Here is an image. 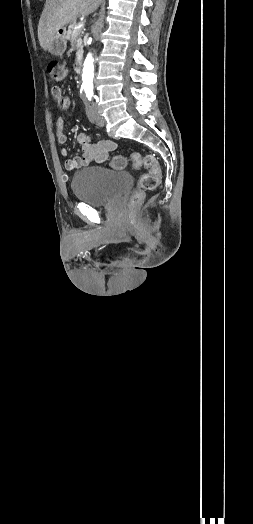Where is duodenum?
<instances>
[{"mask_svg": "<svg viewBox=\"0 0 253 524\" xmlns=\"http://www.w3.org/2000/svg\"><path fill=\"white\" fill-rule=\"evenodd\" d=\"M74 69H75L76 73H81V71H82V60L81 59H78L75 62Z\"/></svg>", "mask_w": 253, "mask_h": 524, "instance_id": "duodenum-1", "label": "duodenum"}]
</instances>
